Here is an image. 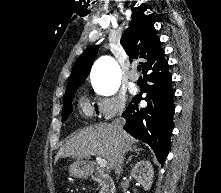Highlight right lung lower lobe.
Returning <instances> with one entry per match:
<instances>
[{"instance_id":"obj_1","label":"right lung lower lobe","mask_w":221,"mask_h":193,"mask_svg":"<svg viewBox=\"0 0 221 193\" xmlns=\"http://www.w3.org/2000/svg\"><path fill=\"white\" fill-rule=\"evenodd\" d=\"M144 98L148 105L139 107L141 96L132 99L122 114L126 119L124 129L133 137L146 142L153 149L158 161L164 164L173 130L174 90L168 64L144 76Z\"/></svg>"}]
</instances>
